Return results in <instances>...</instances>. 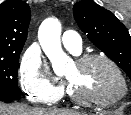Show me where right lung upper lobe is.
<instances>
[{"label":"right lung upper lobe","mask_w":131,"mask_h":115,"mask_svg":"<svg viewBox=\"0 0 131 115\" xmlns=\"http://www.w3.org/2000/svg\"><path fill=\"white\" fill-rule=\"evenodd\" d=\"M30 7L20 0L0 4V55L21 52L27 38Z\"/></svg>","instance_id":"cb5924a9"}]
</instances>
